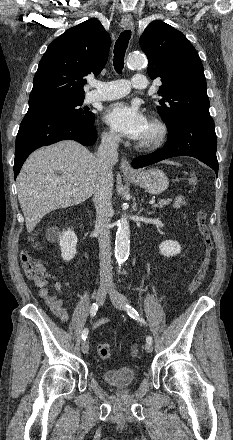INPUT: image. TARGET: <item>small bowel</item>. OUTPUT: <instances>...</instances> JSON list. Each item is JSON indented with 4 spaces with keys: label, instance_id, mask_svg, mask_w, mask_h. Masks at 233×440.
Masks as SVG:
<instances>
[{
    "label": "small bowel",
    "instance_id": "obj_1",
    "mask_svg": "<svg viewBox=\"0 0 233 440\" xmlns=\"http://www.w3.org/2000/svg\"><path fill=\"white\" fill-rule=\"evenodd\" d=\"M186 204L183 196L179 195L175 198L174 206L181 207ZM36 287L39 289V296L45 301V303L49 306L52 313L61 321L66 322L68 320V312L65 307L63 295V284L60 281H57L53 285V289L55 293L50 292V288L46 282L42 284L36 283ZM109 319L107 317H102L98 319L94 324L93 328H97L105 323H107Z\"/></svg>",
    "mask_w": 233,
    "mask_h": 440
}]
</instances>
